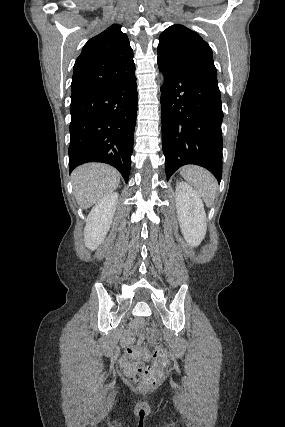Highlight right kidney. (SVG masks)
Masks as SVG:
<instances>
[{
  "label": "right kidney",
  "instance_id": "right-kidney-1",
  "mask_svg": "<svg viewBox=\"0 0 285 427\" xmlns=\"http://www.w3.org/2000/svg\"><path fill=\"white\" fill-rule=\"evenodd\" d=\"M118 193H111L100 199L89 213L84 229L85 245L95 250L104 241L106 234L112 223Z\"/></svg>",
  "mask_w": 285,
  "mask_h": 427
}]
</instances>
